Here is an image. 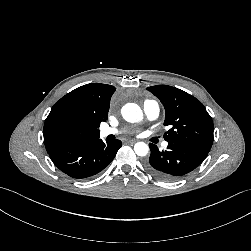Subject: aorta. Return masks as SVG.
Listing matches in <instances>:
<instances>
[{"instance_id":"obj_1","label":"aorta","mask_w":251,"mask_h":251,"mask_svg":"<svg viewBox=\"0 0 251 251\" xmlns=\"http://www.w3.org/2000/svg\"><path fill=\"white\" fill-rule=\"evenodd\" d=\"M122 116L128 122H138L142 119L143 113L141 108L135 103H127L122 108ZM134 151L138 156H146L149 147L144 142H137L134 145Z\"/></svg>"}]
</instances>
